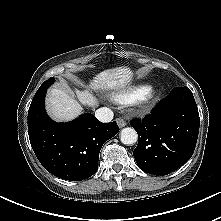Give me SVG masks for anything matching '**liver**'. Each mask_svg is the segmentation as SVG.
I'll return each mask as SVG.
<instances>
[{
    "instance_id": "obj_1",
    "label": "liver",
    "mask_w": 221,
    "mask_h": 221,
    "mask_svg": "<svg viewBox=\"0 0 221 221\" xmlns=\"http://www.w3.org/2000/svg\"><path fill=\"white\" fill-rule=\"evenodd\" d=\"M133 76L128 67H116L107 69L97 74L90 82L88 88L100 91L119 90L124 88ZM77 96L78 101L74 98ZM48 111L58 121H69L82 113V106L95 107L98 103L96 97L88 90L75 91L68 88H52L48 96Z\"/></svg>"
}]
</instances>
